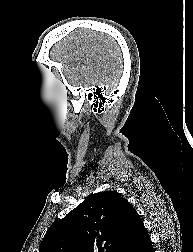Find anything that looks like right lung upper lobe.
<instances>
[{"mask_svg":"<svg viewBox=\"0 0 193 252\" xmlns=\"http://www.w3.org/2000/svg\"><path fill=\"white\" fill-rule=\"evenodd\" d=\"M145 229L118 192L92 194L52 224L39 252H126Z\"/></svg>","mask_w":193,"mask_h":252,"instance_id":"1","label":"right lung upper lobe"}]
</instances>
